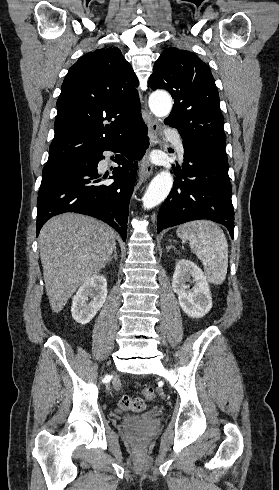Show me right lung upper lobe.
I'll return each instance as SVG.
<instances>
[{"mask_svg": "<svg viewBox=\"0 0 279 490\" xmlns=\"http://www.w3.org/2000/svg\"><path fill=\"white\" fill-rule=\"evenodd\" d=\"M137 85L131 65L118 48L97 49L82 56L69 69L61 87L47 164L82 160L136 126L145 125Z\"/></svg>", "mask_w": 279, "mask_h": 490, "instance_id": "1", "label": "right lung upper lobe"}]
</instances>
